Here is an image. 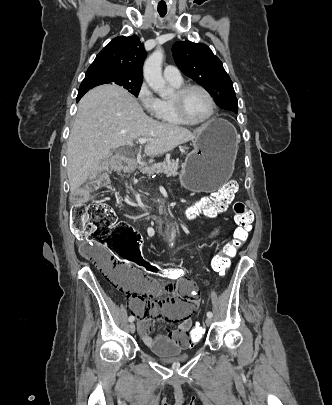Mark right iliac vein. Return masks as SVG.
<instances>
[{"mask_svg":"<svg viewBox=\"0 0 332 405\" xmlns=\"http://www.w3.org/2000/svg\"><path fill=\"white\" fill-rule=\"evenodd\" d=\"M129 331L130 333H134L135 332V324L134 323H130L128 325Z\"/></svg>","mask_w":332,"mask_h":405,"instance_id":"63e3f726","label":"right iliac vein"}]
</instances>
